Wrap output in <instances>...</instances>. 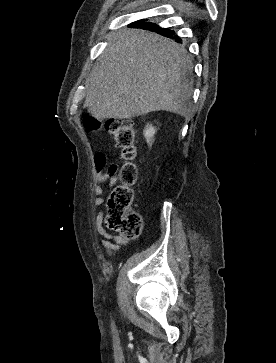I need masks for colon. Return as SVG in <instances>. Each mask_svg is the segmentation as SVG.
<instances>
[{
	"mask_svg": "<svg viewBox=\"0 0 276 363\" xmlns=\"http://www.w3.org/2000/svg\"><path fill=\"white\" fill-rule=\"evenodd\" d=\"M87 127L90 130H98L101 124L89 120ZM105 129L113 137L126 160L118 173L119 184L113 188L106 203L105 225L107 229L125 238H134L143 228L142 216L131 208L134 198L133 185L138 177L137 167L132 162L137 154L134 145V123L125 119L111 120L106 122Z\"/></svg>",
	"mask_w": 276,
	"mask_h": 363,
	"instance_id": "colon-1",
	"label": "colon"
}]
</instances>
